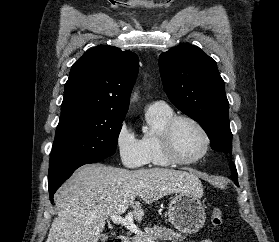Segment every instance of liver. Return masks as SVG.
Returning a JSON list of instances; mask_svg holds the SVG:
<instances>
[{"instance_id":"1","label":"liver","mask_w":279,"mask_h":242,"mask_svg":"<svg viewBox=\"0 0 279 242\" xmlns=\"http://www.w3.org/2000/svg\"><path fill=\"white\" fill-rule=\"evenodd\" d=\"M202 191L198 177L186 171L85 165L56 192L58 216L46 242H98L111 214H123L131 207L134 219H143L144 210L137 197L149 204L172 193L201 196Z\"/></svg>"}]
</instances>
